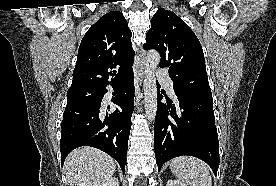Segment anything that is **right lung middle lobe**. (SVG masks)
Masks as SVG:
<instances>
[{
	"instance_id": "1",
	"label": "right lung middle lobe",
	"mask_w": 276,
	"mask_h": 186,
	"mask_svg": "<svg viewBox=\"0 0 276 186\" xmlns=\"http://www.w3.org/2000/svg\"><path fill=\"white\" fill-rule=\"evenodd\" d=\"M101 90L99 87H82L67 92V103H75L87 99L94 93H98Z\"/></svg>"
}]
</instances>
